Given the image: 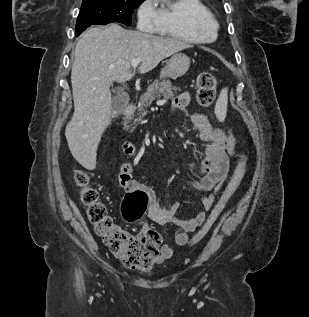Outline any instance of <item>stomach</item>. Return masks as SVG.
Wrapping results in <instances>:
<instances>
[{
    "mask_svg": "<svg viewBox=\"0 0 309 317\" xmlns=\"http://www.w3.org/2000/svg\"><path fill=\"white\" fill-rule=\"evenodd\" d=\"M190 67V58L184 53H175L161 71V77L178 78L183 76Z\"/></svg>",
    "mask_w": 309,
    "mask_h": 317,
    "instance_id": "stomach-1",
    "label": "stomach"
}]
</instances>
